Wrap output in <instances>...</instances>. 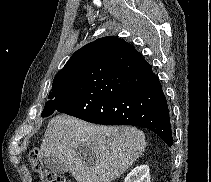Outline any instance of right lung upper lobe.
Wrapping results in <instances>:
<instances>
[{"instance_id": "obj_1", "label": "right lung upper lobe", "mask_w": 211, "mask_h": 182, "mask_svg": "<svg viewBox=\"0 0 211 182\" xmlns=\"http://www.w3.org/2000/svg\"><path fill=\"white\" fill-rule=\"evenodd\" d=\"M94 45V42H91L85 46H83L81 49L76 51L68 60L64 68L73 67L79 64H84L85 66L88 63L89 56L92 50V47Z\"/></svg>"}]
</instances>
